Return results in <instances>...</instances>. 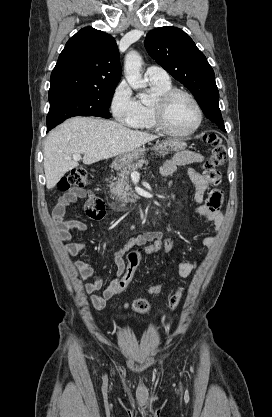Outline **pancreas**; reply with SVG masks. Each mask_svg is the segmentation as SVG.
Returning a JSON list of instances; mask_svg holds the SVG:
<instances>
[{"instance_id":"cf45deb5","label":"pancreas","mask_w":272,"mask_h":417,"mask_svg":"<svg viewBox=\"0 0 272 417\" xmlns=\"http://www.w3.org/2000/svg\"><path fill=\"white\" fill-rule=\"evenodd\" d=\"M144 164L148 165V161L140 159L136 163H131L125 166L120 170V172L117 173L118 178L116 179V182H112L110 185L111 195L117 202L121 204H128L136 201L138 197L129 184V175L133 171L141 168Z\"/></svg>"}]
</instances>
